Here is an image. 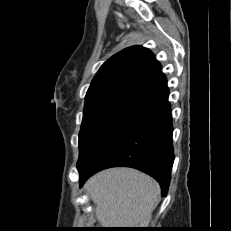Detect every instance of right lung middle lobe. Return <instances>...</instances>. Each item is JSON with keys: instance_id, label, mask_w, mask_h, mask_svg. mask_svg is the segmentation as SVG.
Returning <instances> with one entry per match:
<instances>
[{"instance_id": "right-lung-middle-lobe-1", "label": "right lung middle lobe", "mask_w": 231, "mask_h": 231, "mask_svg": "<svg viewBox=\"0 0 231 231\" xmlns=\"http://www.w3.org/2000/svg\"><path fill=\"white\" fill-rule=\"evenodd\" d=\"M147 102L129 95H112L94 100L84 108L79 133V169L91 154L120 126L141 112Z\"/></svg>"}]
</instances>
